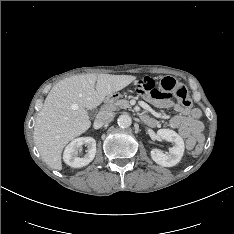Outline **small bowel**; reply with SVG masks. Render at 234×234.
Listing matches in <instances>:
<instances>
[{"instance_id":"small-bowel-1","label":"small bowel","mask_w":234,"mask_h":234,"mask_svg":"<svg viewBox=\"0 0 234 234\" xmlns=\"http://www.w3.org/2000/svg\"><path fill=\"white\" fill-rule=\"evenodd\" d=\"M142 96L146 101L151 102L158 108H173L176 111L177 114L169 119L168 124L171 128L177 129L187 139L189 148L203 139L204 125L200 121L201 111L199 108L183 107L170 98H154L147 93H142ZM144 119L151 127L158 125L155 118L145 116Z\"/></svg>"}]
</instances>
